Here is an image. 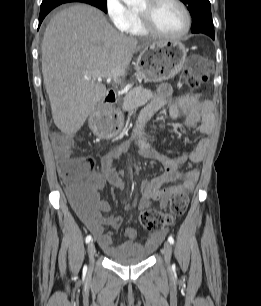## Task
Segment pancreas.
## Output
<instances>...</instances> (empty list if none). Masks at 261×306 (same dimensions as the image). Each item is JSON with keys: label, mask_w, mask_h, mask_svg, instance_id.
Segmentation results:
<instances>
[{"label": "pancreas", "mask_w": 261, "mask_h": 306, "mask_svg": "<svg viewBox=\"0 0 261 306\" xmlns=\"http://www.w3.org/2000/svg\"><path fill=\"white\" fill-rule=\"evenodd\" d=\"M153 98V93L149 89L135 87L130 90L123 99V111L131 112L134 109L145 105Z\"/></svg>", "instance_id": "pancreas-1"}]
</instances>
